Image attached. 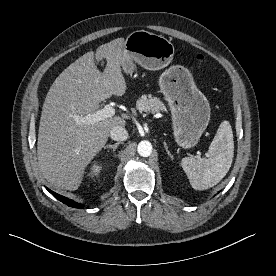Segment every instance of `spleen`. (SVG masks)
Here are the masks:
<instances>
[{
  "instance_id": "obj_1",
  "label": "spleen",
  "mask_w": 276,
  "mask_h": 276,
  "mask_svg": "<svg viewBox=\"0 0 276 276\" xmlns=\"http://www.w3.org/2000/svg\"><path fill=\"white\" fill-rule=\"evenodd\" d=\"M233 157L232 128L228 121H223L209 146L206 157H184L181 160V167L194 189L205 190L215 186L225 177Z\"/></svg>"
}]
</instances>
